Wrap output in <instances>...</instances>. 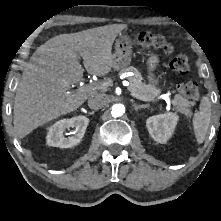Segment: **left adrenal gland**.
<instances>
[{
    "label": "left adrenal gland",
    "mask_w": 221,
    "mask_h": 221,
    "mask_svg": "<svg viewBox=\"0 0 221 221\" xmlns=\"http://www.w3.org/2000/svg\"><path fill=\"white\" fill-rule=\"evenodd\" d=\"M133 107L136 111H138L139 109H143L146 108V105H138L136 103L133 102Z\"/></svg>",
    "instance_id": "1"
}]
</instances>
